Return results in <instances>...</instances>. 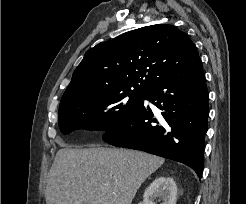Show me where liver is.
I'll return each mask as SVG.
<instances>
[{
    "label": "liver",
    "mask_w": 246,
    "mask_h": 204,
    "mask_svg": "<svg viewBox=\"0 0 246 204\" xmlns=\"http://www.w3.org/2000/svg\"><path fill=\"white\" fill-rule=\"evenodd\" d=\"M164 159L117 148H62L48 173L46 204H131Z\"/></svg>",
    "instance_id": "1"
}]
</instances>
